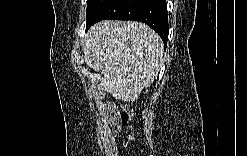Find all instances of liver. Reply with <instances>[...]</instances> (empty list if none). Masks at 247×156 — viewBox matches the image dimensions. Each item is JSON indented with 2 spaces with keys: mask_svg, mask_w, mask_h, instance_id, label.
<instances>
[{
  "mask_svg": "<svg viewBox=\"0 0 247 156\" xmlns=\"http://www.w3.org/2000/svg\"><path fill=\"white\" fill-rule=\"evenodd\" d=\"M87 66L101 73L99 91L133 102L164 64L159 35L144 23L104 20L93 25L83 42Z\"/></svg>",
  "mask_w": 247,
  "mask_h": 156,
  "instance_id": "6515ba94",
  "label": "liver"
}]
</instances>
